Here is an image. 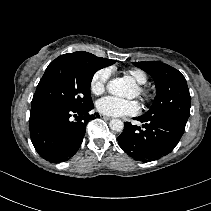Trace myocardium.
<instances>
[{
    "label": "myocardium",
    "mask_w": 211,
    "mask_h": 211,
    "mask_svg": "<svg viewBox=\"0 0 211 211\" xmlns=\"http://www.w3.org/2000/svg\"><path fill=\"white\" fill-rule=\"evenodd\" d=\"M139 95L145 100V101H152L154 99V93L145 87L139 88Z\"/></svg>",
    "instance_id": "myocardium-1"
}]
</instances>
